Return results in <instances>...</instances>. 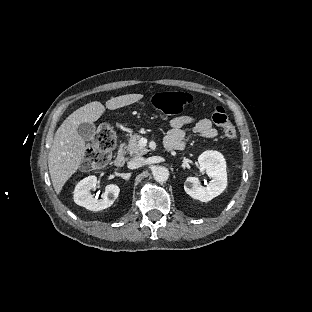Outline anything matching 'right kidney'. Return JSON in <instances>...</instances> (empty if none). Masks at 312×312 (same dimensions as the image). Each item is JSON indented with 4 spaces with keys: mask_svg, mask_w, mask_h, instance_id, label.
Masks as SVG:
<instances>
[{
    "mask_svg": "<svg viewBox=\"0 0 312 312\" xmlns=\"http://www.w3.org/2000/svg\"><path fill=\"white\" fill-rule=\"evenodd\" d=\"M97 184L96 176H88L82 179L74 189V202L91 211H100L110 207L115 199L118 198L120 189L117 185L110 184L101 194V198L91 194L90 190L94 189Z\"/></svg>",
    "mask_w": 312,
    "mask_h": 312,
    "instance_id": "right-kidney-1",
    "label": "right kidney"
}]
</instances>
